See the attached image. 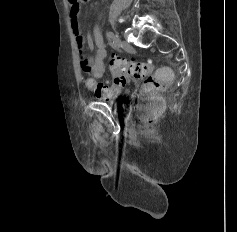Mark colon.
Instances as JSON below:
<instances>
[{
	"instance_id": "5ec220e1",
	"label": "colon",
	"mask_w": 237,
	"mask_h": 232,
	"mask_svg": "<svg viewBox=\"0 0 237 232\" xmlns=\"http://www.w3.org/2000/svg\"><path fill=\"white\" fill-rule=\"evenodd\" d=\"M83 1L87 0H72V2ZM109 71L113 80L108 87L116 90L125 86L128 77L143 80L136 106L137 117L144 125L152 124L163 111L161 93L172 81L171 70L161 68L154 71L150 62H138L114 55L109 62Z\"/></svg>"
}]
</instances>
